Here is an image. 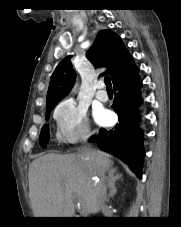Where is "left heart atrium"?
I'll use <instances>...</instances> for the list:
<instances>
[{
  "label": "left heart atrium",
  "mask_w": 181,
  "mask_h": 227,
  "mask_svg": "<svg viewBox=\"0 0 181 227\" xmlns=\"http://www.w3.org/2000/svg\"><path fill=\"white\" fill-rule=\"evenodd\" d=\"M96 121L100 124H107L110 122V115L106 111H98L95 114Z\"/></svg>",
  "instance_id": "left-heart-atrium-1"
}]
</instances>
